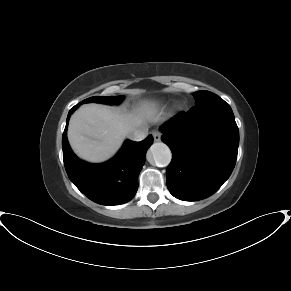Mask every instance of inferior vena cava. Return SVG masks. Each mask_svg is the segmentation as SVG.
I'll list each match as a JSON object with an SVG mask.
<instances>
[{
    "instance_id": "602c4592",
    "label": "inferior vena cava",
    "mask_w": 291,
    "mask_h": 291,
    "mask_svg": "<svg viewBox=\"0 0 291 291\" xmlns=\"http://www.w3.org/2000/svg\"><path fill=\"white\" fill-rule=\"evenodd\" d=\"M147 135H148V128L141 127L139 129L134 130L132 133H130L129 138L133 141H142L146 138Z\"/></svg>"
}]
</instances>
